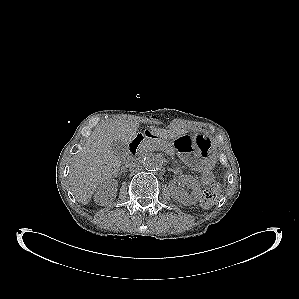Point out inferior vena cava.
Listing matches in <instances>:
<instances>
[{"label": "inferior vena cava", "instance_id": "obj_1", "mask_svg": "<svg viewBox=\"0 0 299 299\" xmlns=\"http://www.w3.org/2000/svg\"><path fill=\"white\" fill-rule=\"evenodd\" d=\"M138 162L136 160H130L126 163L127 167H136Z\"/></svg>", "mask_w": 299, "mask_h": 299}]
</instances>
